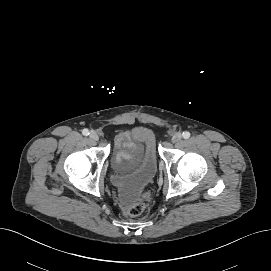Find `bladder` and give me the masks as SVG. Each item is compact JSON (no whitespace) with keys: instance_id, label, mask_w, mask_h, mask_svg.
I'll return each instance as SVG.
<instances>
[{"instance_id":"obj_1","label":"bladder","mask_w":271,"mask_h":271,"mask_svg":"<svg viewBox=\"0 0 271 271\" xmlns=\"http://www.w3.org/2000/svg\"><path fill=\"white\" fill-rule=\"evenodd\" d=\"M135 135L142 140L146 147L136 166L125 174L113 168L112 185L122 204L132 203L143 189L154 179L157 172V157L153 138L144 130H137Z\"/></svg>"}]
</instances>
